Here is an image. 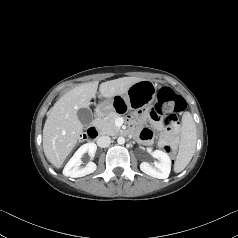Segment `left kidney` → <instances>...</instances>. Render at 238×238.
I'll list each match as a JSON object with an SVG mask.
<instances>
[{"instance_id": "obj_1", "label": "left kidney", "mask_w": 238, "mask_h": 238, "mask_svg": "<svg viewBox=\"0 0 238 238\" xmlns=\"http://www.w3.org/2000/svg\"><path fill=\"white\" fill-rule=\"evenodd\" d=\"M147 151L158 161L154 163V166L147 162H142L140 164L141 171L158 179L168 178L172 164L169 155L161 150L152 151L150 148H148Z\"/></svg>"}]
</instances>
